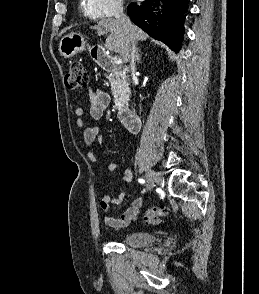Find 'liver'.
Here are the masks:
<instances>
[{
    "label": "liver",
    "mask_w": 259,
    "mask_h": 294,
    "mask_svg": "<svg viewBox=\"0 0 259 294\" xmlns=\"http://www.w3.org/2000/svg\"><path fill=\"white\" fill-rule=\"evenodd\" d=\"M92 28L97 31L98 35L110 33L105 41V49L119 53L124 63L129 61L127 35L117 19L100 20ZM133 35L135 40L139 41H144L148 37L144 31L135 25H133Z\"/></svg>",
    "instance_id": "1"
}]
</instances>
